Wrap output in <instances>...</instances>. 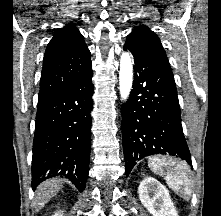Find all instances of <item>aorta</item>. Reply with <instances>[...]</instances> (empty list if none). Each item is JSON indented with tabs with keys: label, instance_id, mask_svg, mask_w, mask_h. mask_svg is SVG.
<instances>
[{
	"label": "aorta",
	"instance_id": "762f6f07",
	"mask_svg": "<svg viewBox=\"0 0 221 216\" xmlns=\"http://www.w3.org/2000/svg\"><path fill=\"white\" fill-rule=\"evenodd\" d=\"M133 83V64L128 52H124L120 58L119 90L122 101H126L130 95Z\"/></svg>",
	"mask_w": 221,
	"mask_h": 216
}]
</instances>
